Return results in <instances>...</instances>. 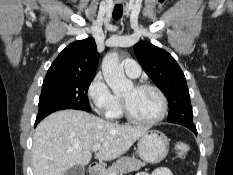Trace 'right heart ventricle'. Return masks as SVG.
Segmentation results:
<instances>
[{
	"label": "right heart ventricle",
	"mask_w": 233,
	"mask_h": 175,
	"mask_svg": "<svg viewBox=\"0 0 233 175\" xmlns=\"http://www.w3.org/2000/svg\"><path fill=\"white\" fill-rule=\"evenodd\" d=\"M116 104L112 108V110L106 115L109 119H119L122 117V108H121V100L116 97Z\"/></svg>",
	"instance_id": "e07e8e85"
}]
</instances>
